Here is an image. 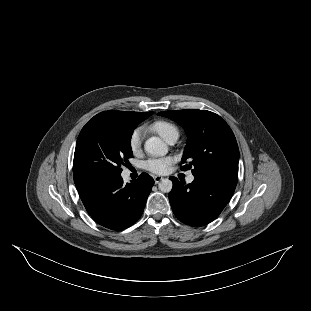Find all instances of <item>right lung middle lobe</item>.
Listing matches in <instances>:
<instances>
[{
    "label": "right lung middle lobe",
    "mask_w": 311,
    "mask_h": 311,
    "mask_svg": "<svg viewBox=\"0 0 311 311\" xmlns=\"http://www.w3.org/2000/svg\"><path fill=\"white\" fill-rule=\"evenodd\" d=\"M99 113L82 128L74 153V180L120 176L121 165L133 157L131 136L136 126L148 118Z\"/></svg>",
    "instance_id": "obj_1"
}]
</instances>
